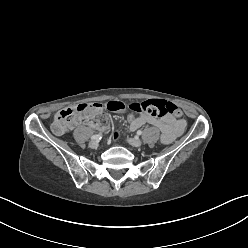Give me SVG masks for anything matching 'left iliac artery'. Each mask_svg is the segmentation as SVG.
<instances>
[{
	"instance_id": "44dca946",
	"label": "left iliac artery",
	"mask_w": 248,
	"mask_h": 248,
	"mask_svg": "<svg viewBox=\"0 0 248 248\" xmlns=\"http://www.w3.org/2000/svg\"><path fill=\"white\" fill-rule=\"evenodd\" d=\"M142 134V131H137V135H141Z\"/></svg>"
}]
</instances>
